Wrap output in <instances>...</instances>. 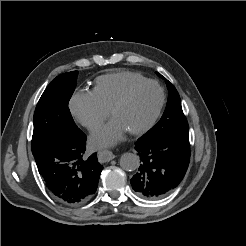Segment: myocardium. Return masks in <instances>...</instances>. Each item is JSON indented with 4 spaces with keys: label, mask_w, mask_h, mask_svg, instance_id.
I'll return each mask as SVG.
<instances>
[{
    "label": "myocardium",
    "mask_w": 246,
    "mask_h": 246,
    "mask_svg": "<svg viewBox=\"0 0 246 246\" xmlns=\"http://www.w3.org/2000/svg\"><path fill=\"white\" fill-rule=\"evenodd\" d=\"M145 85H154L157 87V89L159 90L160 93V98H159V102L158 105L156 107V110L153 114V116L150 118V120L144 124L143 126L136 128V129H132V130H128V132L132 135H143L146 132H148L158 121L162 110L164 108L165 105V101H166V95H165V90L162 87V85L153 79H145L143 81L137 82L133 85H131L119 98L118 100L112 105L111 109H110V114L112 116L115 115V113L117 112V110H119L123 105H125L127 103V101L131 98V96L141 87L145 86Z\"/></svg>",
    "instance_id": "1"
}]
</instances>
